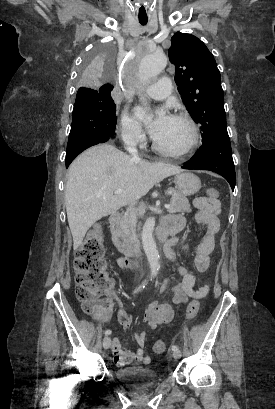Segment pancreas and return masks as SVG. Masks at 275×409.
<instances>
[{
    "label": "pancreas",
    "mask_w": 275,
    "mask_h": 409,
    "mask_svg": "<svg viewBox=\"0 0 275 409\" xmlns=\"http://www.w3.org/2000/svg\"><path fill=\"white\" fill-rule=\"evenodd\" d=\"M166 194H171V202H170V209H168L169 213H191L190 205H189V200L186 198L185 194H182V192H179V190H176V188H167ZM140 211L139 215H143L145 213L144 207H140L138 209ZM120 227L121 229H124L125 233H129V227L126 219H123V221H120Z\"/></svg>",
    "instance_id": "1"
}]
</instances>
